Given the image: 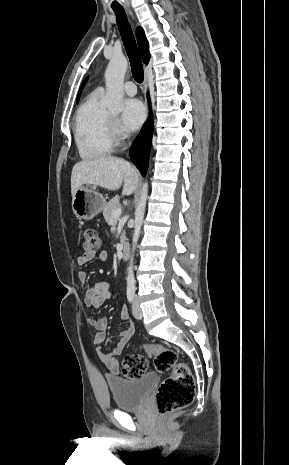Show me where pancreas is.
I'll return each mask as SVG.
<instances>
[{
  "instance_id": "cf45deb5",
  "label": "pancreas",
  "mask_w": 289,
  "mask_h": 465,
  "mask_svg": "<svg viewBox=\"0 0 289 465\" xmlns=\"http://www.w3.org/2000/svg\"><path fill=\"white\" fill-rule=\"evenodd\" d=\"M121 209V204L119 203V197L116 196L112 198L103 208V216L105 221L110 224L112 222V214L115 210ZM125 235L124 233L121 236V241L124 242Z\"/></svg>"
}]
</instances>
